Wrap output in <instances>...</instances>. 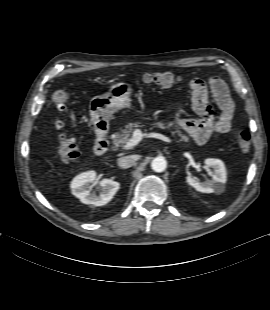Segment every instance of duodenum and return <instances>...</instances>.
<instances>
[{"mask_svg": "<svg viewBox=\"0 0 270 310\" xmlns=\"http://www.w3.org/2000/svg\"><path fill=\"white\" fill-rule=\"evenodd\" d=\"M96 136L97 138L94 146V152L97 155H103L109 147L108 126L104 123L99 124L96 128Z\"/></svg>", "mask_w": 270, "mask_h": 310, "instance_id": "obj_1", "label": "duodenum"}]
</instances>
